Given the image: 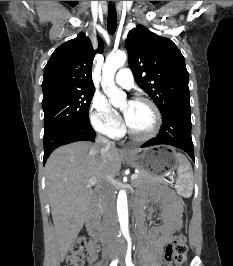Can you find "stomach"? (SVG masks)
I'll return each instance as SVG.
<instances>
[{"instance_id": "obj_1", "label": "stomach", "mask_w": 233, "mask_h": 266, "mask_svg": "<svg viewBox=\"0 0 233 266\" xmlns=\"http://www.w3.org/2000/svg\"><path fill=\"white\" fill-rule=\"evenodd\" d=\"M177 147H149L143 150L131 151L129 155H125V161L153 176H172V169L179 166L181 156H175Z\"/></svg>"}]
</instances>
